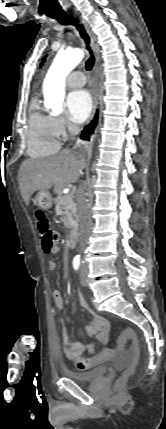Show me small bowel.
<instances>
[{
    "label": "small bowel",
    "mask_w": 166,
    "mask_h": 429,
    "mask_svg": "<svg viewBox=\"0 0 166 429\" xmlns=\"http://www.w3.org/2000/svg\"><path fill=\"white\" fill-rule=\"evenodd\" d=\"M59 252V247H53L49 253L57 254ZM48 268L50 271H55L57 264L55 261L50 260L48 262ZM53 300L58 309H63L65 305V299L60 290L55 289L53 292ZM79 303L83 306L90 314L91 321L86 326V332L89 335L96 337V342L89 346H85L81 343L72 342L68 336V325L65 321H61V332L63 339V348L66 357L71 360L78 369L86 370L94 366L100 365L117 355V352L112 348H103L98 352L95 351L98 344H107L109 342V330L110 323L109 321L93 312L86 303L82 295L78 296ZM120 350V349H119ZM89 352L90 356L83 357V353ZM131 355V349L128 351H121L119 356L121 358H126Z\"/></svg>",
    "instance_id": "c3829d8e"
}]
</instances>
